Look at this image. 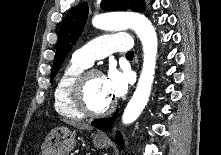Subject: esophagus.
I'll use <instances>...</instances> for the list:
<instances>
[{"label": "esophagus", "mask_w": 221, "mask_h": 155, "mask_svg": "<svg viewBox=\"0 0 221 155\" xmlns=\"http://www.w3.org/2000/svg\"><path fill=\"white\" fill-rule=\"evenodd\" d=\"M136 61H137V56H136ZM101 136L105 137V134H101Z\"/></svg>", "instance_id": "esophagus-1"}]
</instances>
